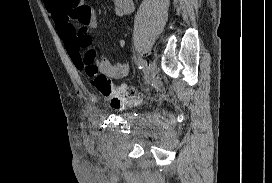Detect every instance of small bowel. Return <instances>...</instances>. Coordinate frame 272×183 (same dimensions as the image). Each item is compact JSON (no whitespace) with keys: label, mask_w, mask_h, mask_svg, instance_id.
Returning a JSON list of instances; mask_svg holds the SVG:
<instances>
[{"label":"small bowel","mask_w":272,"mask_h":183,"mask_svg":"<svg viewBox=\"0 0 272 183\" xmlns=\"http://www.w3.org/2000/svg\"><path fill=\"white\" fill-rule=\"evenodd\" d=\"M118 16L129 15L134 9L133 0H113ZM48 12L57 26L59 37L78 70H82L84 51L91 46V32L96 27L94 9L85 0H44ZM125 48V41H119ZM99 70L111 79L119 80L130 74V66L124 62L103 59L96 62ZM125 87V86H124Z\"/></svg>","instance_id":"1"}]
</instances>
